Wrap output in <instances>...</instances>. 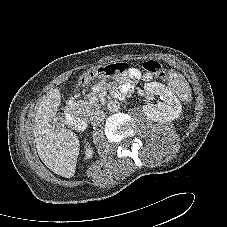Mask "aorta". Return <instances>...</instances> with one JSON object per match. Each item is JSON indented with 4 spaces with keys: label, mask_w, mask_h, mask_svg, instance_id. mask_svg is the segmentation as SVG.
I'll list each match as a JSON object with an SVG mask.
<instances>
[{
    "label": "aorta",
    "mask_w": 227,
    "mask_h": 227,
    "mask_svg": "<svg viewBox=\"0 0 227 227\" xmlns=\"http://www.w3.org/2000/svg\"><path fill=\"white\" fill-rule=\"evenodd\" d=\"M107 108L110 112L115 113L119 110L120 105L117 101H110L107 105Z\"/></svg>",
    "instance_id": "1"
}]
</instances>
